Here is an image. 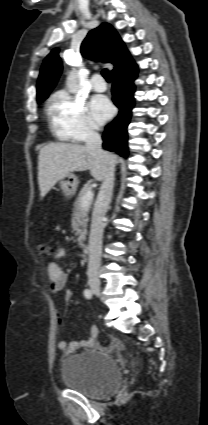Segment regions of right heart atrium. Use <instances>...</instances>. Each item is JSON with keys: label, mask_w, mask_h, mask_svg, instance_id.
<instances>
[{"label": "right heart atrium", "mask_w": 208, "mask_h": 425, "mask_svg": "<svg viewBox=\"0 0 208 425\" xmlns=\"http://www.w3.org/2000/svg\"><path fill=\"white\" fill-rule=\"evenodd\" d=\"M50 111L59 135L76 142H83L97 135L82 99L73 97L66 91H59L52 99Z\"/></svg>", "instance_id": "right-heart-atrium-1"}]
</instances>
